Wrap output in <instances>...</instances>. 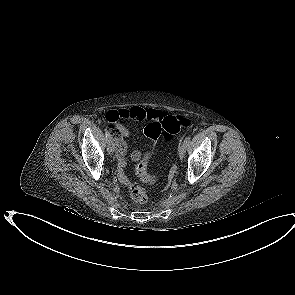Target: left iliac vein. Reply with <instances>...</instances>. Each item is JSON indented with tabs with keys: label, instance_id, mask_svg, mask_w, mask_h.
<instances>
[{
	"label": "left iliac vein",
	"instance_id": "obj_1",
	"mask_svg": "<svg viewBox=\"0 0 295 295\" xmlns=\"http://www.w3.org/2000/svg\"><path fill=\"white\" fill-rule=\"evenodd\" d=\"M186 149H187V144L183 142L178 149V155L180 158L184 157L186 153Z\"/></svg>",
	"mask_w": 295,
	"mask_h": 295
}]
</instances>
